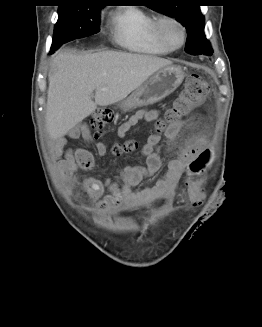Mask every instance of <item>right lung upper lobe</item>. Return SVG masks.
Masks as SVG:
<instances>
[{
	"label": "right lung upper lobe",
	"instance_id": "cb5924a9",
	"mask_svg": "<svg viewBox=\"0 0 262 327\" xmlns=\"http://www.w3.org/2000/svg\"><path fill=\"white\" fill-rule=\"evenodd\" d=\"M62 3H73V2H94L97 3L98 0H60Z\"/></svg>",
	"mask_w": 262,
	"mask_h": 327
}]
</instances>
